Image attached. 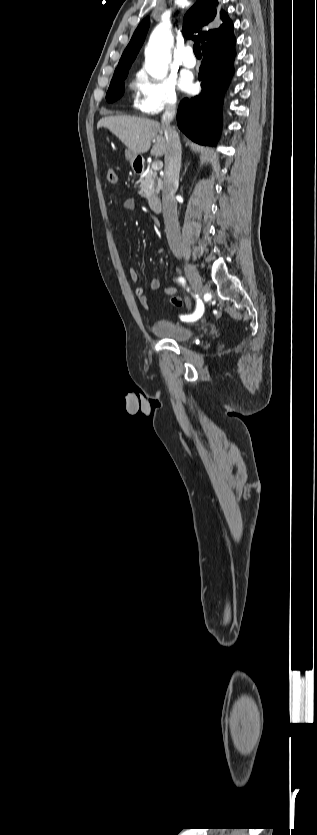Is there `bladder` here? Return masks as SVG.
<instances>
[{
	"mask_svg": "<svg viewBox=\"0 0 317 835\" xmlns=\"http://www.w3.org/2000/svg\"><path fill=\"white\" fill-rule=\"evenodd\" d=\"M152 331L155 335L174 340L176 342H184L190 339L194 330L181 323L169 319H161L154 323Z\"/></svg>",
	"mask_w": 317,
	"mask_h": 835,
	"instance_id": "obj_1",
	"label": "bladder"
}]
</instances>
